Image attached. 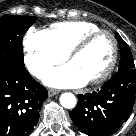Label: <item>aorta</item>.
I'll return each mask as SVG.
<instances>
[{"label": "aorta", "mask_w": 136, "mask_h": 136, "mask_svg": "<svg viewBox=\"0 0 136 136\" xmlns=\"http://www.w3.org/2000/svg\"><path fill=\"white\" fill-rule=\"evenodd\" d=\"M60 104L67 109H72L76 105V97L72 93H63L60 96Z\"/></svg>", "instance_id": "obj_1"}]
</instances>
